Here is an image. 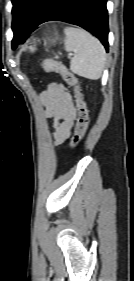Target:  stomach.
<instances>
[{"label": "stomach", "mask_w": 134, "mask_h": 281, "mask_svg": "<svg viewBox=\"0 0 134 281\" xmlns=\"http://www.w3.org/2000/svg\"><path fill=\"white\" fill-rule=\"evenodd\" d=\"M31 52H34L36 50V45L33 44L32 46L29 47Z\"/></svg>", "instance_id": "stomach-1"}]
</instances>
